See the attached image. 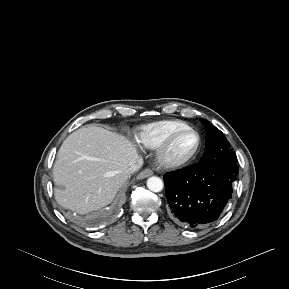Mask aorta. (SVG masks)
I'll use <instances>...</instances> for the list:
<instances>
[{
	"label": "aorta",
	"mask_w": 289,
	"mask_h": 289,
	"mask_svg": "<svg viewBox=\"0 0 289 289\" xmlns=\"http://www.w3.org/2000/svg\"><path fill=\"white\" fill-rule=\"evenodd\" d=\"M163 186V181L157 176H152L147 180V187L152 192H160Z\"/></svg>",
	"instance_id": "762f6f07"
}]
</instances>
